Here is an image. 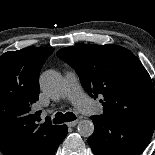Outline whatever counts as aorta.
<instances>
[{
    "label": "aorta",
    "instance_id": "obj_1",
    "mask_svg": "<svg viewBox=\"0 0 155 155\" xmlns=\"http://www.w3.org/2000/svg\"><path fill=\"white\" fill-rule=\"evenodd\" d=\"M40 86L52 98H59L66 89L63 77L54 70H47L41 75ZM77 129L81 136L89 137L93 134L94 126L91 121L83 120L79 122Z\"/></svg>",
    "mask_w": 155,
    "mask_h": 155
}]
</instances>
